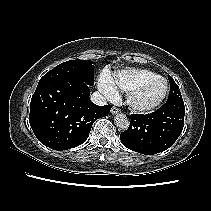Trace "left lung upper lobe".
<instances>
[{"label":"left lung upper lobe","mask_w":211,"mask_h":211,"mask_svg":"<svg viewBox=\"0 0 211 211\" xmlns=\"http://www.w3.org/2000/svg\"><path fill=\"white\" fill-rule=\"evenodd\" d=\"M168 79L170 82V93H169L168 101L182 99L181 92H180L178 85L175 83V81L169 75H168Z\"/></svg>","instance_id":"left-lung-upper-lobe-1"}]
</instances>
